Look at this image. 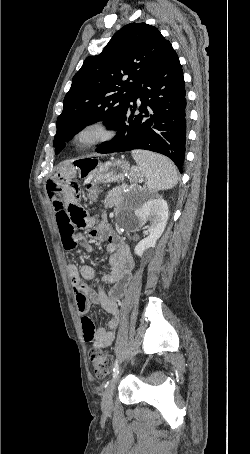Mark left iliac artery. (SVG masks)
Listing matches in <instances>:
<instances>
[{
  "mask_svg": "<svg viewBox=\"0 0 250 454\" xmlns=\"http://www.w3.org/2000/svg\"><path fill=\"white\" fill-rule=\"evenodd\" d=\"M119 374V361L116 360L113 368L112 377L115 378Z\"/></svg>",
  "mask_w": 250,
  "mask_h": 454,
  "instance_id": "left-iliac-artery-1",
  "label": "left iliac artery"
}]
</instances>
